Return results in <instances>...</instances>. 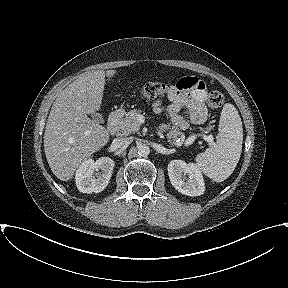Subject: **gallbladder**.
<instances>
[{
  "label": "gallbladder",
  "mask_w": 288,
  "mask_h": 288,
  "mask_svg": "<svg viewBox=\"0 0 288 288\" xmlns=\"http://www.w3.org/2000/svg\"><path fill=\"white\" fill-rule=\"evenodd\" d=\"M91 117L97 123H103L104 122V119L100 113H92Z\"/></svg>",
  "instance_id": "bac80fb5"
}]
</instances>
